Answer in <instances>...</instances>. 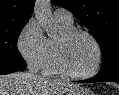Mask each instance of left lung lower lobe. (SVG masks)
<instances>
[{"label": "left lung lower lobe", "instance_id": "left-lung-lower-lobe-1", "mask_svg": "<svg viewBox=\"0 0 119 95\" xmlns=\"http://www.w3.org/2000/svg\"><path fill=\"white\" fill-rule=\"evenodd\" d=\"M101 81H105V82H115L119 84V76H114L111 78H105V77H101L100 75H96L93 78L84 80V81H79L81 83H90V82H101Z\"/></svg>", "mask_w": 119, "mask_h": 95}]
</instances>
